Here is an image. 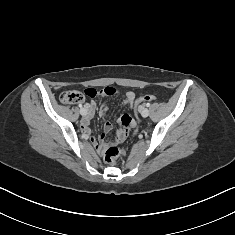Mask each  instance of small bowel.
Wrapping results in <instances>:
<instances>
[{
	"label": "small bowel",
	"instance_id": "small-bowel-1",
	"mask_svg": "<svg viewBox=\"0 0 235 235\" xmlns=\"http://www.w3.org/2000/svg\"><path fill=\"white\" fill-rule=\"evenodd\" d=\"M116 93V90L113 88V93L112 94H115ZM135 99H136V96H135V93L132 92V91H129L125 94V97H124V100H123V104L124 105H129L130 107L133 106L134 102H135ZM85 108L88 112V118L87 119H84L82 122H81V127L82 129H84L87 133H89V129H88V120L93 116L94 112H95V109H96V106H95V103L94 102H88L85 104ZM107 111V107L105 105H103L101 107V115L103 116ZM112 128V124L110 122H107L104 126V129L105 130H110ZM92 140L94 141V138H92ZM95 142V141H94ZM95 144L97 145V143L95 142Z\"/></svg>",
	"mask_w": 235,
	"mask_h": 235
}]
</instances>
